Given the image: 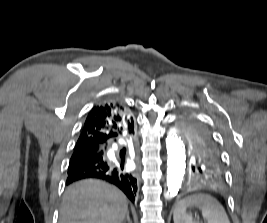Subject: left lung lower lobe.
Instances as JSON below:
<instances>
[{
    "label": "left lung lower lobe",
    "mask_w": 267,
    "mask_h": 223,
    "mask_svg": "<svg viewBox=\"0 0 267 223\" xmlns=\"http://www.w3.org/2000/svg\"><path fill=\"white\" fill-rule=\"evenodd\" d=\"M190 189H201V194H208V190L224 189L228 186L225 181L226 171H187Z\"/></svg>",
    "instance_id": "1"
}]
</instances>
